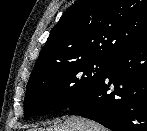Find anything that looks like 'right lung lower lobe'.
<instances>
[{
	"label": "right lung lower lobe",
	"instance_id": "obj_1",
	"mask_svg": "<svg viewBox=\"0 0 147 131\" xmlns=\"http://www.w3.org/2000/svg\"><path fill=\"white\" fill-rule=\"evenodd\" d=\"M67 109L112 131H147V38L116 55L104 78Z\"/></svg>",
	"mask_w": 147,
	"mask_h": 131
}]
</instances>
